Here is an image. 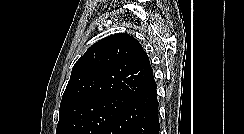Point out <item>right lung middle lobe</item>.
<instances>
[{"label":"right lung middle lobe","instance_id":"1","mask_svg":"<svg viewBox=\"0 0 244 134\" xmlns=\"http://www.w3.org/2000/svg\"><path fill=\"white\" fill-rule=\"evenodd\" d=\"M131 100L110 96L83 103L59 119L56 134H101Z\"/></svg>","mask_w":244,"mask_h":134}]
</instances>
